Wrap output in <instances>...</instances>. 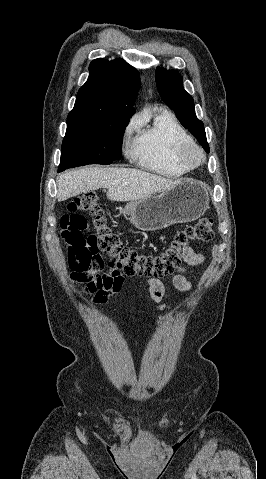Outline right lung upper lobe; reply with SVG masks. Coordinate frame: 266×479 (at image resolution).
Here are the masks:
<instances>
[{
	"label": "right lung upper lobe",
	"instance_id": "1",
	"mask_svg": "<svg viewBox=\"0 0 266 479\" xmlns=\"http://www.w3.org/2000/svg\"><path fill=\"white\" fill-rule=\"evenodd\" d=\"M89 78L79 89L68 117L95 116L130 119L138 94L140 76L123 59H95Z\"/></svg>",
	"mask_w": 266,
	"mask_h": 479
}]
</instances>
